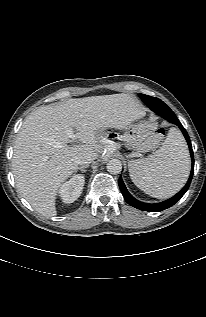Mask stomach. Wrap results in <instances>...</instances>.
<instances>
[{"label":"stomach","mask_w":206,"mask_h":317,"mask_svg":"<svg viewBox=\"0 0 206 317\" xmlns=\"http://www.w3.org/2000/svg\"><path fill=\"white\" fill-rule=\"evenodd\" d=\"M152 129L147 121H140L130 124L123 136L128 149L137 152H147L153 149Z\"/></svg>","instance_id":"0dacf381"}]
</instances>
